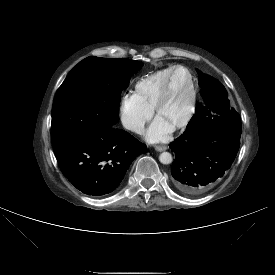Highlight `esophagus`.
<instances>
[{
  "mask_svg": "<svg viewBox=\"0 0 275 275\" xmlns=\"http://www.w3.org/2000/svg\"><path fill=\"white\" fill-rule=\"evenodd\" d=\"M166 149H167V146H165V145H158V146H155V150H156V151H159V152L165 151Z\"/></svg>",
  "mask_w": 275,
  "mask_h": 275,
  "instance_id": "34e87169",
  "label": "esophagus"
}]
</instances>
